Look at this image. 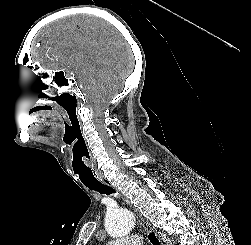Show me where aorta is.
<instances>
[{"label": "aorta", "instance_id": "1", "mask_svg": "<svg viewBox=\"0 0 251 245\" xmlns=\"http://www.w3.org/2000/svg\"><path fill=\"white\" fill-rule=\"evenodd\" d=\"M105 227L111 237H123L134 229L135 219L131 211L117 209L107 213Z\"/></svg>", "mask_w": 251, "mask_h": 245}]
</instances>
